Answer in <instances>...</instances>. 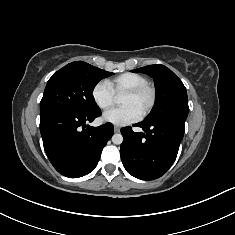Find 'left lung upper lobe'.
<instances>
[{"label": "left lung upper lobe", "instance_id": "1", "mask_svg": "<svg viewBox=\"0 0 235 235\" xmlns=\"http://www.w3.org/2000/svg\"><path fill=\"white\" fill-rule=\"evenodd\" d=\"M133 72L148 74L155 81V104L144 121L168 116L187 118L189 107L186 88L169 68L155 64L135 69Z\"/></svg>", "mask_w": 235, "mask_h": 235}]
</instances>
